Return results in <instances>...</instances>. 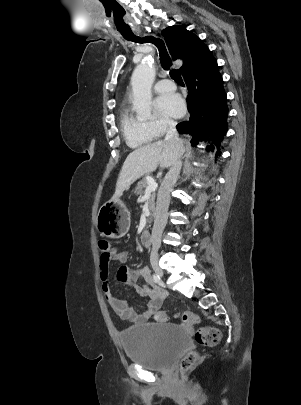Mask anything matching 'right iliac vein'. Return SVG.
<instances>
[{"label": "right iliac vein", "mask_w": 301, "mask_h": 405, "mask_svg": "<svg viewBox=\"0 0 301 405\" xmlns=\"http://www.w3.org/2000/svg\"><path fill=\"white\" fill-rule=\"evenodd\" d=\"M151 265H152V268L155 271V273L159 277H163V270L159 267L157 257H155V256L151 257Z\"/></svg>", "instance_id": "obj_1"}]
</instances>
